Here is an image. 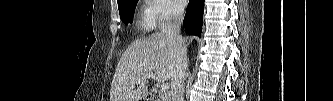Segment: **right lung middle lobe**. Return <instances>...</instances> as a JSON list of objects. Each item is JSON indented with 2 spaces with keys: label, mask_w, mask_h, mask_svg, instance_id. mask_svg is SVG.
<instances>
[{
  "label": "right lung middle lobe",
  "mask_w": 333,
  "mask_h": 101,
  "mask_svg": "<svg viewBox=\"0 0 333 101\" xmlns=\"http://www.w3.org/2000/svg\"><path fill=\"white\" fill-rule=\"evenodd\" d=\"M138 0H123L118 3L119 14L125 24L132 23L133 11Z\"/></svg>",
  "instance_id": "1"
}]
</instances>
